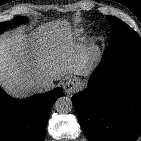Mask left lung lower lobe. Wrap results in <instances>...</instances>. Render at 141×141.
Returning <instances> with one entry per match:
<instances>
[{"label": "left lung lower lobe", "mask_w": 141, "mask_h": 141, "mask_svg": "<svg viewBox=\"0 0 141 141\" xmlns=\"http://www.w3.org/2000/svg\"><path fill=\"white\" fill-rule=\"evenodd\" d=\"M90 141H134L141 134V44H109L89 87L72 97Z\"/></svg>", "instance_id": "left-lung-lower-lobe-1"}]
</instances>
